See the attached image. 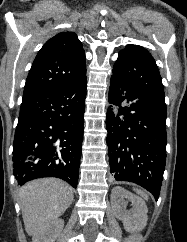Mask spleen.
I'll list each match as a JSON object with an SVG mask.
<instances>
[{
  "label": "spleen",
  "mask_w": 187,
  "mask_h": 242,
  "mask_svg": "<svg viewBox=\"0 0 187 242\" xmlns=\"http://www.w3.org/2000/svg\"><path fill=\"white\" fill-rule=\"evenodd\" d=\"M136 191L137 194H139L140 196L144 197L145 199H148V195L146 193H144L142 190L140 189H134Z\"/></svg>",
  "instance_id": "obj_1"
}]
</instances>
